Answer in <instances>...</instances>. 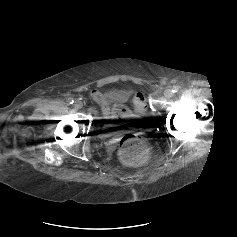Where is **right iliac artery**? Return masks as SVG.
Segmentation results:
<instances>
[{"instance_id":"right-iliac-artery-1","label":"right iliac artery","mask_w":237,"mask_h":237,"mask_svg":"<svg viewBox=\"0 0 237 237\" xmlns=\"http://www.w3.org/2000/svg\"><path fill=\"white\" fill-rule=\"evenodd\" d=\"M67 102H68L69 104H73V103H74V100H73V98L69 97V98L67 99Z\"/></svg>"}]
</instances>
